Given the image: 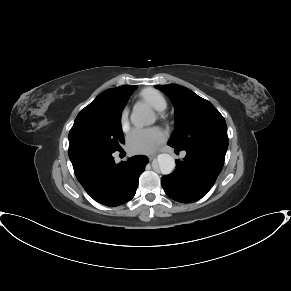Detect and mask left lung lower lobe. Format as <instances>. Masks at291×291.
<instances>
[{
  "label": "left lung lower lobe",
  "mask_w": 291,
  "mask_h": 291,
  "mask_svg": "<svg viewBox=\"0 0 291 291\" xmlns=\"http://www.w3.org/2000/svg\"><path fill=\"white\" fill-rule=\"evenodd\" d=\"M227 147L193 145L183 149L186 151L184 160H176L175 170L161 179L165 193L173 200L182 203L201 199L220 174Z\"/></svg>",
  "instance_id": "0a47b994"
}]
</instances>
